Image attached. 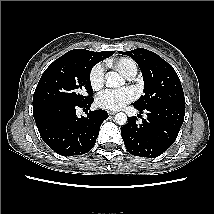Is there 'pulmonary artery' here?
<instances>
[{"mask_svg":"<svg viewBox=\"0 0 214 214\" xmlns=\"http://www.w3.org/2000/svg\"><path fill=\"white\" fill-rule=\"evenodd\" d=\"M135 75H136V74L133 73V74H131V75L129 76V78H133Z\"/></svg>","mask_w":214,"mask_h":214,"instance_id":"e3ab8cb5","label":"pulmonary artery"}]
</instances>
